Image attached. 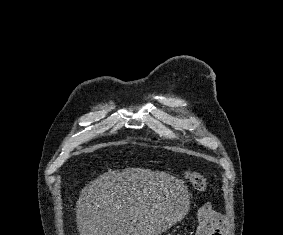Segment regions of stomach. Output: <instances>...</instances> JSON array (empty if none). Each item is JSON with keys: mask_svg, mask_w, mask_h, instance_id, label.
Masks as SVG:
<instances>
[{"mask_svg": "<svg viewBox=\"0 0 283 235\" xmlns=\"http://www.w3.org/2000/svg\"><path fill=\"white\" fill-rule=\"evenodd\" d=\"M181 199H182V200H181V208H182V209H185V208H186V204H187V203H186V198H185V197H182Z\"/></svg>", "mask_w": 283, "mask_h": 235, "instance_id": "stomach-1", "label": "stomach"}]
</instances>
